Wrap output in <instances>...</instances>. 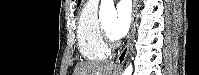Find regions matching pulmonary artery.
I'll return each mask as SVG.
<instances>
[{"label":"pulmonary artery","instance_id":"obj_1","mask_svg":"<svg viewBox=\"0 0 199 75\" xmlns=\"http://www.w3.org/2000/svg\"><path fill=\"white\" fill-rule=\"evenodd\" d=\"M99 3V1L93 0V1H89L88 4L90 6H97V4Z\"/></svg>","mask_w":199,"mask_h":75}]
</instances>
